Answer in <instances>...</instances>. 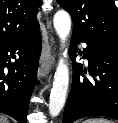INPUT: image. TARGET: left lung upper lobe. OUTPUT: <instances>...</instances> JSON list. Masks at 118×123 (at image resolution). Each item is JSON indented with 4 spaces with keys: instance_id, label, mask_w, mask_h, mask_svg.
I'll list each match as a JSON object with an SVG mask.
<instances>
[{
    "instance_id": "left-lung-upper-lobe-1",
    "label": "left lung upper lobe",
    "mask_w": 118,
    "mask_h": 123,
    "mask_svg": "<svg viewBox=\"0 0 118 123\" xmlns=\"http://www.w3.org/2000/svg\"><path fill=\"white\" fill-rule=\"evenodd\" d=\"M70 13L73 33L118 49V10L114 0H57Z\"/></svg>"
}]
</instances>
